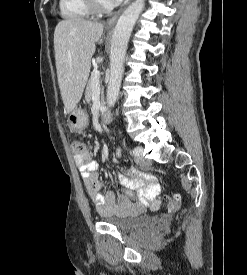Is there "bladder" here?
Here are the masks:
<instances>
[{
    "instance_id": "obj_1",
    "label": "bladder",
    "mask_w": 247,
    "mask_h": 275,
    "mask_svg": "<svg viewBox=\"0 0 247 275\" xmlns=\"http://www.w3.org/2000/svg\"><path fill=\"white\" fill-rule=\"evenodd\" d=\"M98 217L102 223L115 226L122 231H130L137 227L148 226L154 221V217L143 215L138 211L121 216L98 213Z\"/></svg>"
}]
</instances>
